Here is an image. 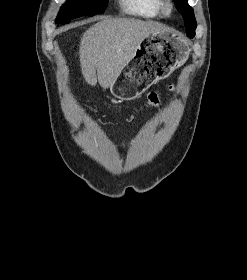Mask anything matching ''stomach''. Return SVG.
<instances>
[{"label":"stomach","instance_id":"obj_1","mask_svg":"<svg viewBox=\"0 0 247 280\" xmlns=\"http://www.w3.org/2000/svg\"><path fill=\"white\" fill-rule=\"evenodd\" d=\"M189 54L185 40L170 31L147 36L123 67L110 90L122 100H130L153 83L168 77Z\"/></svg>","mask_w":247,"mask_h":280}]
</instances>
